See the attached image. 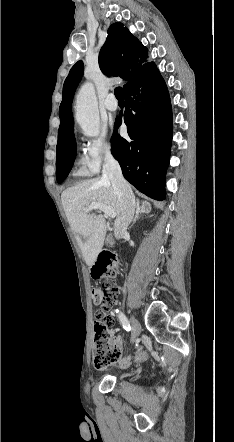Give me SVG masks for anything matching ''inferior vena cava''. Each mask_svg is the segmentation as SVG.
I'll return each instance as SVG.
<instances>
[{"mask_svg": "<svg viewBox=\"0 0 234 442\" xmlns=\"http://www.w3.org/2000/svg\"><path fill=\"white\" fill-rule=\"evenodd\" d=\"M102 178L111 181L112 186L119 197L120 215L115 220L114 234L117 239H120L127 232V228L133 219L136 202L129 184L122 175L118 161L109 151L105 156Z\"/></svg>", "mask_w": 234, "mask_h": 442, "instance_id": "obj_1", "label": "inferior vena cava"}]
</instances>
